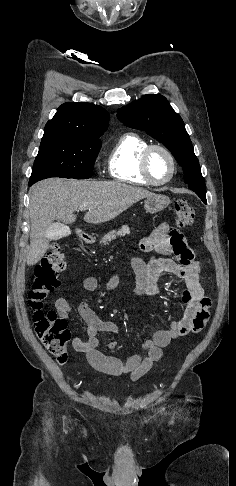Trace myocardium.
<instances>
[{"instance_id":"obj_1","label":"myocardium","mask_w":236,"mask_h":486,"mask_svg":"<svg viewBox=\"0 0 236 486\" xmlns=\"http://www.w3.org/2000/svg\"><path fill=\"white\" fill-rule=\"evenodd\" d=\"M154 150H159V151L163 152L168 157L170 164H171V171H170L169 176L162 181H157V180L153 179V177L151 176V174L149 172L148 161H149L150 154ZM140 172H141V175L143 176V178L146 180V182L148 184L154 185V186L165 185V184L169 183L173 179V177L175 176V173H176L175 157L172 154V152L169 149H167L166 147L159 145V144H149L141 153Z\"/></svg>"}]
</instances>
